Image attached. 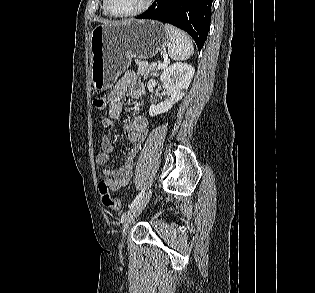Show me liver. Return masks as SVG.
Instances as JSON below:
<instances>
[{
	"label": "liver",
	"instance_id": "obj_1",
	"mask_svg": "<svg viewBox=\"0 0 315 293\" xmlns=\"http://www.w3.org/2000/svg\"><path fill=\"white\" fill-rule=\"evenodd\" d=\"M103 23H106V22H103ZM117 23H120V22H111V24H117Z\"/></svg>",
	"mask_w": 315,
	"mask_h": 293
}]
</instances>
